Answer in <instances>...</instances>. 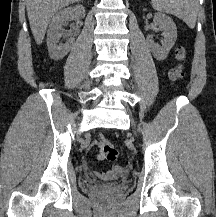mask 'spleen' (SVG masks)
Listing matches in <instances>:
<instances>
[{
  "instance_id": "spleen-1",
  "label": "spleen",
  "mask_w": 216,
  "mask_h": 217,
  "mask_svg": "<svg viewBox=\"0 0 216 217\" xmlns=\"http://www.w3.org/2000/svg\"><path fill=\"white\" fill-rule=\"evenodd\" d=\"M152 5L157 10L183 20L189 28L195 27L199 7L198 0H152Z\"/></svg>"
}]
</instances>
